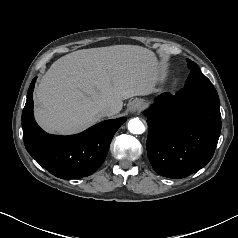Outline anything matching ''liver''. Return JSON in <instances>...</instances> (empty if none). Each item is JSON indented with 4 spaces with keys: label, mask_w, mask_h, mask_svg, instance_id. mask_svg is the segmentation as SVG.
<instances>
[{
    "label": "liver",
    "mask_w": 238,
    "mask_h": 238,
    "mask_svg": "<svg viewBox=\"0 0 238 238\" xmlns=\"http://www.w3.org/2000/svg\"><path fill=\"white\" fill-rule=\"evenodd\" d=\"M161 71L153 53L141 46L82 49L55 61L34 96L37 123L47 132L73 134L97 123L101 107L157 91ZM113 114V115H114Z\"/></svg>",
    "instance_id": "liver-1"
}]
</instances>
